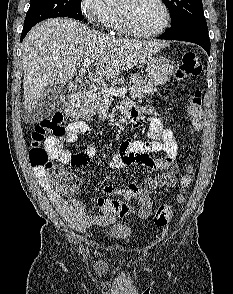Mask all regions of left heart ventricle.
<instances>
[{
	"label": "left heart ventricle",
	"mask_w": 233,
	"mask_h": 294,
	"mask_svg": "<svg viewBox=\"0 0 233 294\" xmlns=\"http://www.w3.org/2000/svg\"><path fill=\"white\" fill-rule=\"evenodd\" d=\"M120 9L125 10L132 26L141 32H151L164 23V12L155 0H124Z\"/></svg>",
	"instance_id": "left-heart-ventricle-1"
}]
</instances>
